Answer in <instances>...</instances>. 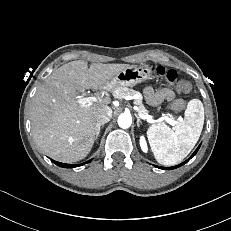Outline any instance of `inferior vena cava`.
Here are the masks:
<instances>
[{
    "label": "inferior vena cava",
    "instance_id": "obj_1",
    "mask_svg": "<svg viewBox=\"0 0 231 231\" xmlns=\"http://www.w3.org/2000/svg\"><path fill=\"white\" fill-rule=\"evenodd\" d=\"M111 117H112V110L107 106L99 108L96 111L97 125L105 124L109 122Z\"/></svg>",
    "mask_w": 231,
    "mask_h": 231
}]
</instances>
